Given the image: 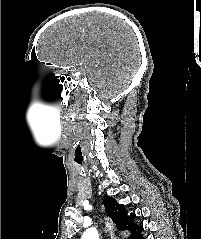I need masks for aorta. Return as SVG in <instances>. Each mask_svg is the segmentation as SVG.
Listing matches in <instances>:
<instances>
[{"label":"aorta","mask_w":201,"mask_h":239,"mask_svg":"<svg viewBox=\"0 0 201 239\" xmlns=\"http://www.w3.org/2000/svg\"><path fill=\"white\" fill-rule=\"evenodd\" d=\"M82 239H99L98 231L95 228H89L83 233Z\"/></svg>","instance_id":"1"}]
</instances>
